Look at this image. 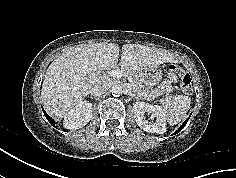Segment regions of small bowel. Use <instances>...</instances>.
Masks as SVG:
<instances>
[{"label":"small bowel","instance_id":"1","mask_svg":"<svg viewBox=\"0 0 236 178\" xmlns=\"http://www.w3.org/2000/svg\"><path fill=\"white\" fill-rule=\"evenodd\" d=\"M169 87H170V84L167 83V82H164V83H162V84L159 86V91H160V92H163V91H165V90H168Z\"/></svg>","mask_w":236,"mask_h":178}]
</instances>
